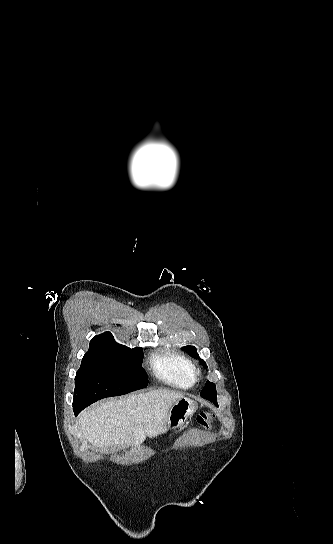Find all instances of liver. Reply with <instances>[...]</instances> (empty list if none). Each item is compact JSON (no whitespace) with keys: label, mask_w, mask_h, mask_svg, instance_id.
I'll use <instances>...</instances> for the list:
<instances>
[{"label":"liver","mask_w":333,"mask_h":544,"mask_svg":"<svg viewBox=\"0 0 333 544\" xmlns=\"http://www.w3.org/2000/svg\"><path fill=\"white\" fill-rule=\"evenodd\" d=\"M183 395L169 390L110 400L79 415L84 437L95 447L138 446L146 435L157 437L167 431L169 410Z\"/></svg>","instance_id":"6515ba94"}]
</instances>
